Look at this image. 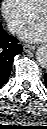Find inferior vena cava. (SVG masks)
<instances>
[{"label": "inferior vena cava", "instance_id": "inferior-vena-cava-1", "mask_svg": "<svg viewBox=\"0 0 47 129\" xmlns=\"http://www.w3.org/2000/svg\"><path fill=\"white\" fill-rule=\"evenodd\" d=\"M7 29L10 33L15 34L21 29V26L15 22H8Z\"/></svg>", "mask_w": 47, "mask_h": 129}]
</instances>
